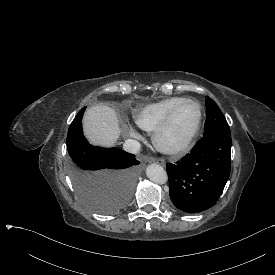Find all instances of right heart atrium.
Here are the masks:
<instances>
[{"label":"right heart atrium","mask_w":275,"mask_h":275,"mask_svg":"<svg viewBox=\"0 0 275 275\" xmlns=\"http://www.w3.org/2000/svg\"><path fill=\"white\" fill-rule=\"evenodd\" d=\"M126 133H127L128 137H133V138L139 137V133L136 130V128L133 125L129 124V123H127Z\"/></svg>","instance_id":"right-heart-atrium-1"}]
</instances>
